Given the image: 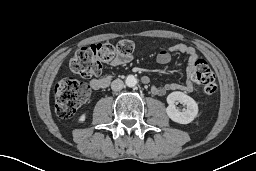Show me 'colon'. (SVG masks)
<instances>
[{
	"label": "colon",
	"mask_w": 256,
	"mask_h": 171,
	"mask_svg": "<svg viewBox=\"0 0 256 171\" xmlns=\"http://www.w3.org/2000/svg\"><path fill=\"white\" fill-rule=\"evenodd\" d=\"M135 44L130 40L117 43H104L79 49L70 59L71 71L84 77L100 74L102 63L111 62L117 56H128L133 53ZM191 78L203 90L206 98L217 90L215 74L204 60H197ZM56 111L62 118L71 117L89 98L87 84L72 77L62 78L55 87Z\"/></svg>",
	"instance_id": "colon-1"
}]
</instances>
